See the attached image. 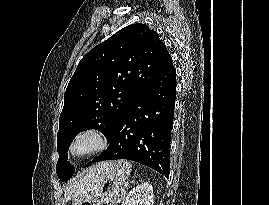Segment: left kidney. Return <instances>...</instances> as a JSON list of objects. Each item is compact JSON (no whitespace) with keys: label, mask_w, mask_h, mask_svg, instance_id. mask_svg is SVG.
<instances>
[{"label":"left kidney","mask_w":269,"mask_h":205,"mask_svg":"<svg viewBox=\"0 0 269 205\" xmlns=\"http://www.w3.org/2000/svg\"><path fill=\"white\" fill-rule=\"evenodd\" d=\"M153 203V188L146 182L133 188L124 198L122 205H153Z\"/></svg>","instance_id":"obj_1"}]
</instances>
